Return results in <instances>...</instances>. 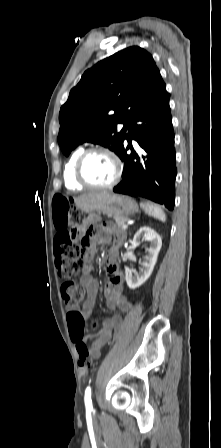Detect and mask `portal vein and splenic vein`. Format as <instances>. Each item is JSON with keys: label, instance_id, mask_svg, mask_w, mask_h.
<instances>
[{"label": "portal vein and splenic vein", "instance_id": "portal-vein-and-splenic-vein-1", "mask_svg": "<svg viewBox=\"0 0 221 448\" xmlns=\"http://www.w3.org/2000/svg\"><path fill=\"white\" fill-rule=\"evenodd\" d=\"M128 227V223H125L123 228L126 229Z\"/></svg>", "mask_w": 221, "mask_h": 448}]
</instances>
